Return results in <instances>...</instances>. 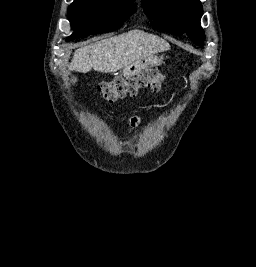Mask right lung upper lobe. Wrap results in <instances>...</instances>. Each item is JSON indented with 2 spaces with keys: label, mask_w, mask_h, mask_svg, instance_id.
Wrapping results in <instances>:
<instances>
[{
  "label": "right lung upper lobe",
  "mask_w": 256,
  "mask_h": 267,
  "mask_svg": "<svg viewBox=\"0 0 256 267\" xmlns=\"http://www.w3.org/2000/svg\"><path fill=\"white\" fill-rule=\"evenodd\" d=\"M123 1H132L133 2V0H123Z\"/></svg>",
  "instance_id": "obj_1"
}]
</instances>
